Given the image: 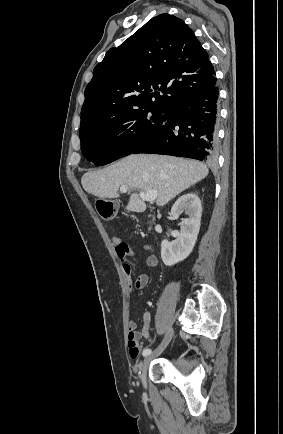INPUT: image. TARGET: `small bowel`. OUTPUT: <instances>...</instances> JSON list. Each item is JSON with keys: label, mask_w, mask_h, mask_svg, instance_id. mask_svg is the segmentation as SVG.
Instances as JSON below:
<instances>
[{"label": "small bowel", "mask_w": 283, "mask_h": 434, "mask_svg": "<svg viewBox=\"0 0 283 434\" xmlns=\"http://www.w3.org/2000/svg\"><path fill=\"white\" fill-rule=\"evenodd\" d=\"M116 253L119 259L122 261V267L125 275L127 276L129 287L131 289H142L148 284L149 277L146 273L140 274L134 282H132V264L130 258L135 255V251L125 242L119 238L113 239ZM147 248V247H146ZM146 264L148 267H155L158 264V258L154 254H150L146 257ZM150 313H145L143 316V325L141 330H138L137 323L135 321H130L128 325V348L129 355L132 359H136L141 350L142 346L140 344L141 338H145L149 343H153L154 339L150 334Z\"/></svg>", "instance_id": "c3829d8e"}]
</instances>
